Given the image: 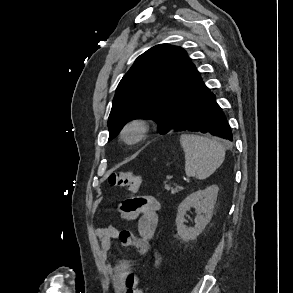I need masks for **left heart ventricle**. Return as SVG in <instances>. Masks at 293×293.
<instances>
[{
	"mask_svg": "<svg viewBox=\"0 0 293 293\" xmlns=\"http://www.w3.org/2000/svg\"><path fill=\"white\" fill-rule=\"evenodd\" d=\"M127 137L129 139H133L135 137V132H129L128 135H127Z\"/></svg>",
	"mask_w": 293,
	"mask_h": 293,
	"instance_id": "left-heart-ventricle-1",
	"label": "left heart ventricle"
}]
</instances>
